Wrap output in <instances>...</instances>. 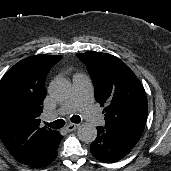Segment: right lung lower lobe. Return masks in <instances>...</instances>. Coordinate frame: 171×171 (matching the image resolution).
I'll use <instances>...</instances> for the list:
<instances>
[{"label":"right lung lower lobe","instance_id":"1","mask_svg":"<svg viewBox=\"0 0 171 171\" xmlns=\"http://www.w3.org/2000/svg\"><path fill=\"white\" fill-rule=\"evenodd\" d=\"M62 136L57 133L53 141L49 144L47 150L32 163L28 164L32 168H41L48 166L57 156V145Z\"/></svg>","mask_w":171,"mask_h":171}]
</instances>
